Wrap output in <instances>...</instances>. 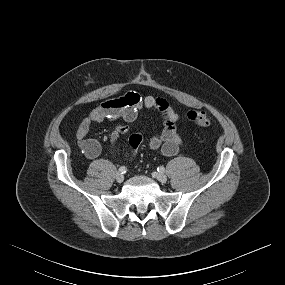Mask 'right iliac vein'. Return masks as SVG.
Segmentation results:
<instances>
[{"label":"right iliac vein","instance_id":"obj_1","mask_svg":"<svg viewBox=\"0 0 285 285\" xmlns=\"http://www.w3.org/2000/svg\"><path fill=\"white\" fill-rule=\"evenodd\" d=\"M116 181L118 182V183H121V182H123V180H124V175L123 174H121L120 172H118L117 174H116Z\"/></svg>","mask_w":285,"mask_h":285}]
</instances>
